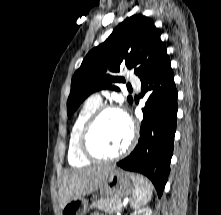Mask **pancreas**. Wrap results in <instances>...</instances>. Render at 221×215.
<instances>
[{"mask_svg":"<svg viewBox=\"0 0 221 215\" xmlns=\"http://www.w3.org/2000/svg\"><path fill=\"white\" fill-rule=\"evenodd\" d=\"M91 208H98L99 210L108 213H116L121 211L122 202L120 198L110 197L104 200H98L96 202H93Z\"/></svg>","mask_w":221,"mask_h":215,"instance_id":"1","label":"pancreas"}]
</instances>
